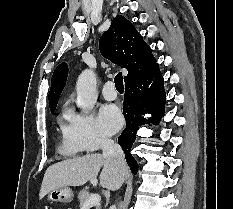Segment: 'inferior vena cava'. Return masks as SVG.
Wrapping results in <instances>:
<instances>
[{"label":"inferior vena cava","mask_w":233,"mask_h":209,"mask_svg":"<svg viewBox=\"0 0 233 209\" xmlns=\"http://www.w3.org/2000/svg\"><path fill=\"white\" fill-rule=\"evenodd\" d=\"M101 148L105 158L115 160L120 167L125 166L124 153L117 143L109 138H103L101 140ZM114 209L116 208L114 207Z\"/></svg>","instance_id":"1"}]
</instances>
